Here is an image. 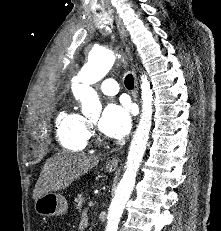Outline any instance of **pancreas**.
Segmentation results:
<instances>
[{"label": "pancreas", "instance_id": "1", "mask_svg": "<svg viewBox=\"0 0 221 231\" xmlns=\"http://www.w3.org/2000/svg\"><path fill=\"white\" fill-rule=\"evenodd\" d=\"M85 197L83 193L78 194V196L75 198V207L78 210H81L83 204L85 203Z\"/></svg>", "mask_w": 221, "mask_h": 231}]
</instances>
